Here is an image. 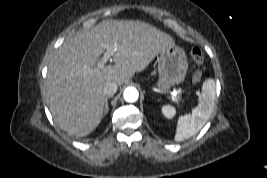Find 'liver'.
Instances as JSON below:
<instances>
[{
  "instance_id": "1",
  "label": "liver",
  "mask_w": 267,
  "mask_h": 178,
  "mask_svg": "<svg viewBox=\"0 0 267 178\" xmlns=\"http://www.w3.org/2000/svg\"><path fill=\"white\" fill-rule=\"evenodd\" d=\"M117 44L115 65L98 67L107 45ZM168 34L134 20L103 21L64 41L48 65L46 102L56 124L84 137L101 122L107 82L122 85L143 71L161 49L174 45Z\"/></svg>"
}]
</instances>
